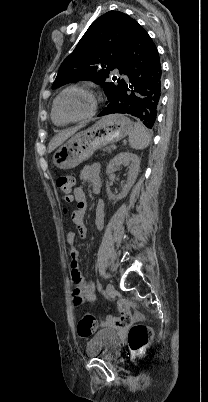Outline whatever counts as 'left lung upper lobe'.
<instances>
[{
  "instance_id": "left-lung-upper-lobe-1",
  "label": "left lung upper lobe",
  "mask_w": 208,
  "mask_h": 402,
  "mask_svg": "<svg viewBox=\"0 0 208 402\" xmlns=\"http://www.w3.org/2000/svg\"><path fill=\"white\" fill-rule=\"evenodd\" d=\"M135 22L119 11H109L97 18L61 64L52 88L91 80L103 87L109 102L120 83V79L118 84L109 82L110 72L118 69L123 74V55Z\"/></svg>"
}]
</instances>
